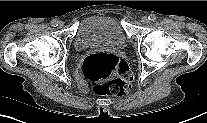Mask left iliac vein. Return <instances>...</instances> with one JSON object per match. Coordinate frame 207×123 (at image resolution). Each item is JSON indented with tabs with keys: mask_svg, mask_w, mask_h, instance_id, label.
Wrapping results in <instances>:
<instances>
[{
	"mask_svg": "<svg viewBox=\"0 0 207 123\" xmlns=\"http://www.w3.org/2000/svg\"><path fill=\"white\" fill-rule=\"evenodd\" d=\"M142 22H144V23H148V22H149L148 17H147V16H143V17H142Z\"/></svg>",
	"mask_w": 207,
	"mask_h": 123,
	"instance_id": "left-iliac-vein-1",
	"label": "left iliac vein"
}]
</instances>
